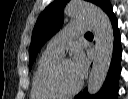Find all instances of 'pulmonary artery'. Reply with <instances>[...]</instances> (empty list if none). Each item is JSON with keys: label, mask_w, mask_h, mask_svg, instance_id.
I'll use <instances>...</instances> for the list:
<instances>
[{"label": "pulmonary artery", "mask_w": 128, "mask_h": 99, "mask_svg": "<svg viewBox=\"0 0 128 99\" xmlns=\"http://www.w3.org/2000/svg\"><path fill=\"white\" fill-rule=\"evenodd\" d=\"M90 24L86 21H80L68 24L62 31L56 34L47 44V49L60 55L64 52L65 45L77 34L90 29Z\"/></svg>", "instance_id": "e3ab8cb5"}]
</instances>
